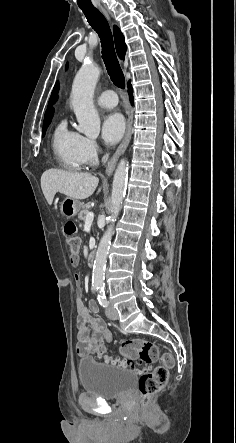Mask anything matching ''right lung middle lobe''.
<instances>
[{"mask_svg":"<svg viewBox=\"0 0 236 443\" xmlns=\"http://www.w3.org/2000/svg\"><path fill=\"white\" fill-rule=\"evenodd\" d=\"M51 120L43 122V136L45 135L46 129L48 125L50 124Z\"/></svg>","mask_w":236,"mask_h":443,"instance_id":"right-lung-middle-lobe-1","label":"right lung middle lobe"}]
</instances>
